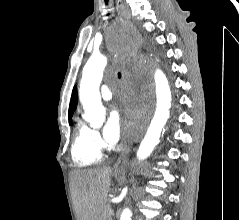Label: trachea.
<instances>
[{
  "label": "trachea",
  "instance_id": "obj_1",
  "mask_svg": "<svg viewBox=\"0 0 239 220\" xmlns=\"http://www.w3.org/2000/svg\"><path fill=\"white\" fill-rule=\"evenodd\" d=\"M106 5L108 4V0H105ZM118 77L121 78V73L118 72Z\"/></svg>",
  "mask_w": 239,
  "mask_h": 220
}]
</instances>
